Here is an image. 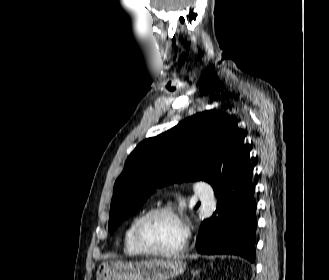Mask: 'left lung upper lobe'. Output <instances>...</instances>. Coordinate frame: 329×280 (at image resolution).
I'll list each match as a JSON object with an SVG mask.
<instances>
[{
    "label": "left lung upper lobe",
    "mask_w": 329,
    "mask_h": 280,
    "mask_svg": "<svg viewBox=\"0 0 329 280\" xmlns=\"http://www.w3.org/2000/svg\"><path fill=\"white\" fill-rule=\"evenodd\" d=\"M244 136L229 115L207 110L141 142L114 185L109 232L137 212L147 197L173 182L204 180L225 186L241 164Z\"/></svg>",
    "instance_id": "1"
}]
</instances>
